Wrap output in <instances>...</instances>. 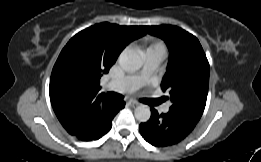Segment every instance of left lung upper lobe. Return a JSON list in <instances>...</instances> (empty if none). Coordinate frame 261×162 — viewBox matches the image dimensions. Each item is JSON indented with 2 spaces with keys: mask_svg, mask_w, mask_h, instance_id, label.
Listing matches in <instances>:
<instances>
[{
  "mask_svg": "<svg viewBox=\"0 0 261 162\" xmlns=\"http://www.w3.org/2000/svg\"><path fill=\"white\" fill-rule=\"evenodd\" d=\"M142 30L163 39L168 46L169 62L161 87L170 93L173 104L169 110L199 121L209 86V63L200 42L173 25L142 26Z\"/></svg>",
  "mask_w": 261,
  "mask_h": 162,
  "instance_id": "5c2ea615",
  "label": "left lung upper lobe"
}]
</instances>
